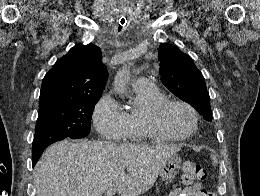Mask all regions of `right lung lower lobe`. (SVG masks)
<instances>
[{"instance_id":"right-lung-lower-lobe-1","label":"right lung lower lobe","mask_w":260,"mask_h":196,"mask_svg":"<svg viewBox=\"0 0 260 196\" xmlns=\"http://www.w3.org/2000/svg\"><path fill=\"white\" fill-rule=\"evenodd\" d=\"M44 151V149H38V150H34L32 151V162H33V166L35 165V163L38 161V159L40 158L42 152Z\"/></svg>"}]
</instances>
